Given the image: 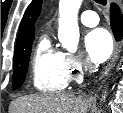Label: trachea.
Returning <instances> with one entry per match:
<instances>
[{
    "instance_id": "obj_1",
    "label": "trachea",
    "mask_w": 123,
    "mask_h": 113,
    "mask_svg": "<svg viewBox=\"0 0 123 113\" xmlns=\"http://www.w3.org/2000/svg\"><path fill=\"white\" fill-rule=\"evenodd\" d=\"M96 3L105 6L106 5V0H94Z\"/></svg>"
}]
</instances>
